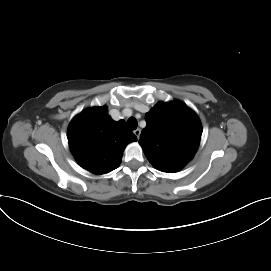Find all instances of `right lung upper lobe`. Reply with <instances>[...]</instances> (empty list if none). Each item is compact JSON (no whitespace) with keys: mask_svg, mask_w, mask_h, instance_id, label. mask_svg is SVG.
<instances>
[{"mask_svg":"<svg viewBox=\"0 0 271 271\" xmlns=\"http://www.w3.org/2000/svg\"><path fill=\"white\" fill-rule=\"evenodd\" d=\"M136 140L123 120L115 122L108 116L105 106L84 110L68 128L69 146L76 161L97 175L116 169L125 146Z\"/></svg>","mask_w":271,"mask_h":271,"instance_id":"right-lung-upper-lobe-1","label":"right lung upper lobe"}]
</instances>
